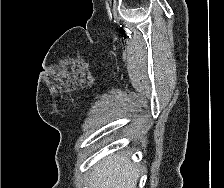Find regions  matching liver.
<instances>
[{
	"label": "liver",
	"mask_w": 224,
	"mask_h": 188,
	"mask_svg": "<svg viewBox=\"0 0 224 188\" xmlns=\"http://www.w3.org/2000/svg\"><path fill=\"white\" fill-rule=\"evenodd\" d=\"M138 168L121 154L106 157L94 166L90 174V188H136Z\"/></svg>",
	"instance_id": "1"
}]
</instances>
